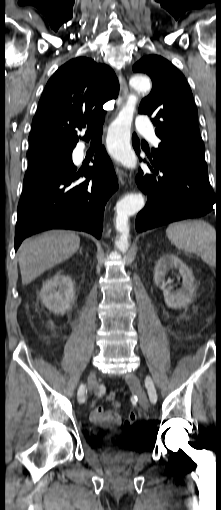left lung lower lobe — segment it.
Masks as SVG:
<instances>
[{
    "mask_svg": "<svg viewBox=\"0 0 221 510\" xmlns=\"http://www.w3.org/2000/svg\"><path fill=\"white\" fill-rule=\"evenodd\" d=\"M132 143L139 154L136 135H133ZM148 166L153 174L139 169L135 179L138 188L148 196L146 206L136 217L138 232L178 220L201 217L211 212L215 204L220 206L208 174L174 163L159 165L151 158ZM159 173L161 176H157ZM217 236L221 249V208L218 209Z\"/></svg>",
    "mask_w": 221,
    "mask_h": 510,
    "instance_id": "0a47b994",
    "label": "left lung lower lobe"
}]
</instances>
